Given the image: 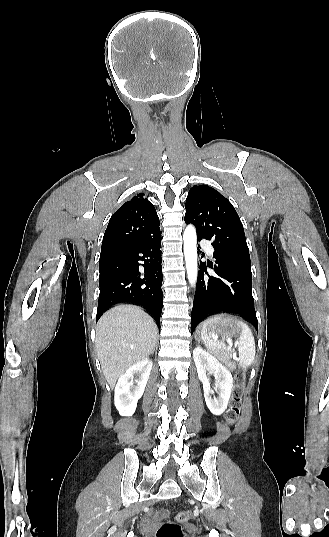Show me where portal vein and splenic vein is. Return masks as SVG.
<instances>
[{"instance_id": "obj_1", "label": "portal vein and splenic vein", "mask_w": 329, "mask_h": 537, "mask_svg": "<svg viewBox=\"0 0 329 537\" xmlns=\"http://www.w3.org/2000/svg\"><path fill=\"white\" fill-rule=\"evenodd\" d=\"M232 345H233V344H232V342H231V341H229V348H231V347H232Z\"/></svg>"}]
</instances>
